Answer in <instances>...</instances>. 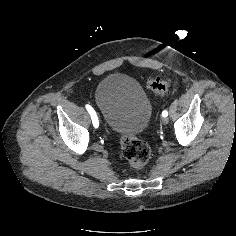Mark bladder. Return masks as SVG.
<instances>
[{
  "mask_svg": "<svg viewBox=\"0 0 236 236\" xmlns=\"http://www.w3.org/2000/svg\"><path fill=\"white\" fill-rule=\"evenodd\" d=\"M94 98L108 128L121 137L137 135L150 120V101L128 75L115 73L105 77L98 84Z\"/></svg>",
  "mask_w": 236,
  "mask_h": 236,
  "instance_id": "31cf9c89",
  "label": "bladder"
}]
</instances>
